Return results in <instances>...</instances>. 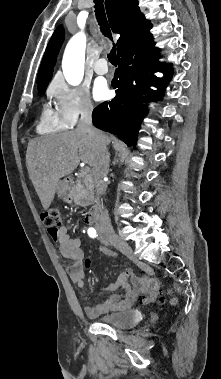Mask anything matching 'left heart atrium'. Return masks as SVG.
<instances>
[{
	"instance_id": "39dd6f15",
	"label": "left heart atrium",
	"mask_w": 221,
	"mask_h": 379,
	"mask_svg": "<svg viewBox=\"0 0 221 379\" xmlns=\"http://www.w3.org/2000/svg\"><path fill=\"white\" fill-rule=\"evenodd\" d=\"M93 93H94L95 99L97 100L106 99L109 94V90L106 83L101 80L97 81L94 85Z\"/></svg>"
}]
</instances>
